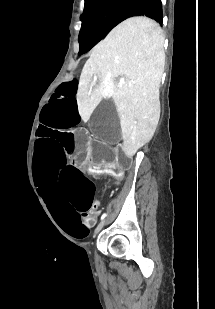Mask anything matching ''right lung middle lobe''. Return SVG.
Here are the masks:
<instances>
[{
	"label": "right lung middle lobe",
	"instance_id": "1",
	"mask_svg": "<svg viewBox=\"0 0 215 309\" xmlns=\"http://www.w3.org/2000/svg\"><path fill=\"white\" fill-rule=\"evenodd\" d=\"M130 0H85L79 34V55L90 50L116 26Z\"/></svg>",
	"mask_w": 215,
	"mask_h": 309
}]
</instances>
